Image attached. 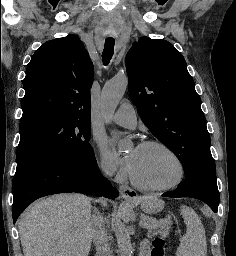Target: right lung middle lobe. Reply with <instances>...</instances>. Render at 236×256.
I'll return each mask as SVG.
<instances>
[{
  "label": "right lung middle lobe",
  "instance_id": "dd1d6c3e",
  "mask_svg": "<svg viewBox=\"0 0 236 256\" xmlns=\"http://www.w3.org/2000/svg\"><path fill=\"white\" fill-rule=\"evenodd\" d=\"M17 167L46 156L92 158L89 143L90 120H78L56 114H36L20 121Z\"/></svg>",
  "mask_w": 236,
  "mask_h": 256
}]
</instances>
